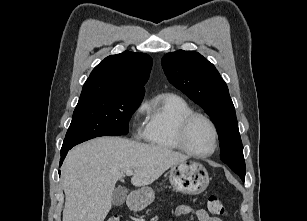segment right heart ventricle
<instances>
[{"label": "right heart ventricle", "mask_w": 307, "mask_h": 221, "mask_svg": "<svg viewBox=\"0 0 307 221\" xmlns=\"http://www.w3.org/2000/svg\"><path fill=\"white\" fill-rule=\"evenodd\" d=\"M148 121L144 137L151 144L170 150H179L176 140L178 125L183 117L194 112L182 97L165 93L155 97L145 105Z\"/></svg>", "instance_id": "right-heart-ventricle-1"}]
</instances>
